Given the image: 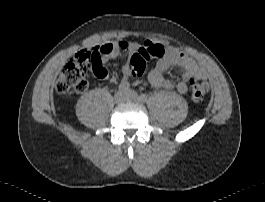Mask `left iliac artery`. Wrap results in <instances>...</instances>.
<instances>
[{"label":"left iliac artery","instance_id":"1","mask_svg":"<svg viewBox=\"0 0 265 202\" xmlns=\"http://www.w3.org/2000/svg\"><path fill=\"white\" fill-rule=\"evenodd\" d=\"M147 98H148V97H147L146 94H141V95H140V99H141L142 102H146V101H147Z\"/></svg>","mask_w":265,"mask_h":202}]
</instances>
